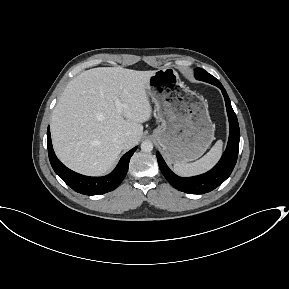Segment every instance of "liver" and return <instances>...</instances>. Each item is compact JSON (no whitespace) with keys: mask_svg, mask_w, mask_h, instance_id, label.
<instances>
[{"mask_svg":"<svg viewBox=\"0 0 289 289\" xmlns=\"http://www.w3.org/2000/svg\"><path fill=\"white\" fill-rule=\"evenodd\" d=\"M155 71L99 67L82 72L64 89L51 118L57 157L86 175H103L123 149L138 144L151 118L147 83ZM123 105L118 112L115 101ZM127 137L124 147L117 140Z\"/></svg>","mask_w":289,"mask_h":289,"instance_id":"obj_1","label":"liver"}]
</instances>
